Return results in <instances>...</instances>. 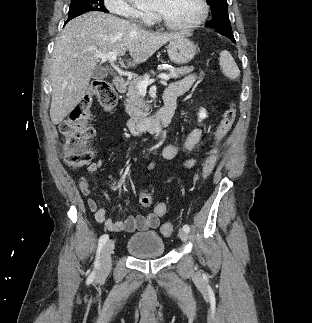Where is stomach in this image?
I'll use <instances>...</instances> for the list:
<instances>
[{
	"instance_id": "1",
	"label": "stomach",
	"mask_w": 312,
	"mask_h": 323,
	"mask_svg": "<svg viewBox=\"0 0 312 323\" xmlns=\"http://www.w3.org/2000/svg\"><path fill=\"white\" fill-rule=\"evenodd\" d=\"M167 54L174 64H188L197 54V50L192 40H187L186 36H181L177 40H171L168 44Z\"/></svg>"
}]
</instances>
